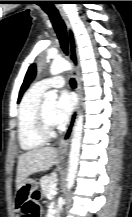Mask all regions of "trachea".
Here are the masks:
<instances>
[{
    "mask_svg": "<svg viewBox=\"0 0 132 217\" xmlns=\"http://www.w3.org/2000/svg\"><path fill=\"white\" fill-rule=\"evenodd\" d=\"M51 23L56 31V34L58 36V39L60 41V45L64 51L65 54H68V36H67V29L64 21L62 20L61 16L56 13H47ZM70 85L72 87H76V81L74 78H71Z\"/></svg>",
    "mask_w": 132,
    "mask_h": 217,
    "instance_id": "trachea-1",
    "label": "trachea"
}]
</instances>
